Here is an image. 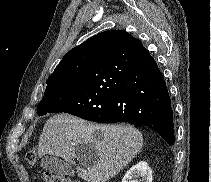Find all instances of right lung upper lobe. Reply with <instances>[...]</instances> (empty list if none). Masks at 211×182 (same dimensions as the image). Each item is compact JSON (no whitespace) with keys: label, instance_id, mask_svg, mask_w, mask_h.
<instances>
[{"label":"right lung upper lobe","instance_id":"cb5924a9","mask_svg":"<svg viewBox=\"0 0 211 182\" xmlns=\"http://www.w3.org/2000/svg\"><path fill=\"white\" fill-rule=\"evenodd\" d=\"M130 37L132 41H138L131 35ZM96 38L97 35L89 38L82 44L76 46L75 48L71 49L68 53H66V55L62 58L61 62L58 64V66L55 68L54 72L51 75L55 74L56 72L67 66H73L84 62H88L89 64Z\"/></svg>","mask_w":211,"mask_h":182}]
</instances>
